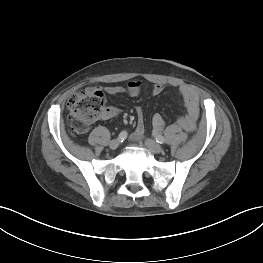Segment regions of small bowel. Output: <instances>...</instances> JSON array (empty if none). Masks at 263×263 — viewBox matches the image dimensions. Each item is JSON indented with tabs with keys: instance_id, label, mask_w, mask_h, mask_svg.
<instances>
[{
	"instance_id": "obj_1",
	"label": "small bowel",
	"mask_w": 263,
	"mask_h": 263,
	"mask_svg": "<svg viewBox=\"0 0 263 263\" xmlns=\"http://www.w3.org/2000/svg\"><path fill=\"white\" fill-rule=\"evenodd\" d=\"M99 89L98 87H94ZM143 89V85L140 81H130L126 87L123 86H108L105 88V91L109 95H117L127 93L132 97L138 96ZM164 87L161 84H155L151 87V94L157 96L162 93ZM179 91L184 100L187 114L179 119L181 126L184 129L191 130L195 126L196 120L199 115V98L197 93L189 85H181ZM138 124L136 131L132 135L133 140H138L144 132V116L143 110L140 107L136 108ZM117 114V109L114 107L105 108L103 114L101 115L102 119H109L114 117ZM152 126L155 131H160L164 126V120L160 114H154L152 118Z\"/></svg>"
}]
</instances>
